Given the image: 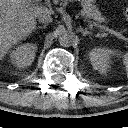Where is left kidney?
<instances>
[{
  "mask_svg": "<svg viewBox=\"0 0 128 128\" xmlns=\"http://www.w3.org/2000/svg\"><path fill=\"white\" fill-rule=\"evenodd\" d=\"M91 64L100 73H106L109 68V58L103 48H94L89 53Z\"/></svg>",
  "mask_w": 128,
  "mask_h": 128,
  "instance_id": "obj_1",
  "label": "left kidney"
}]
</instances>
